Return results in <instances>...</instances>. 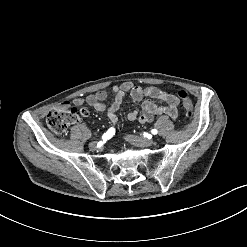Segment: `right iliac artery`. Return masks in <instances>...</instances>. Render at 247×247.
<instances>
[{
  "mask_svg": "<svg viewBox=\"0 0 247 247\" xmlns=\"http://www.w3.org/2000/svg\"><path fill=\"white\" fill-rule=\"evenodd\" d=\"M115 134V128L111 127L106 133H104V135L102 136L103 141H107L108 139H110L111 137H113V135Z\"/></svg>",
  "mask_w": 247,
  "mask_h": 247,
  "instance_id": "1",
  "label": "right iliac artery"
}]
</instances>
